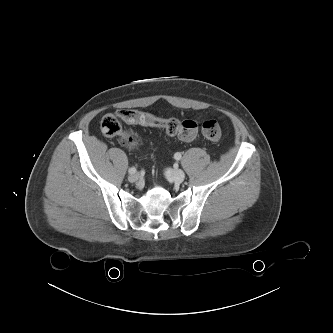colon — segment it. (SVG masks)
<instances>
[{
  "instance_id": "colon-1",
  "label": "colon",
  "mask_w": 333,
  "mask_h": 333,
  "mask_svg": "<svg viewBox=\"0 0 333 333\" xmlns=\"http://www.w3.org/2000/svg\"><path fill=\"white\" fill-rule=\"evenodd\" d=\"M121 121L128 124H141L158 126L166 130L170 135H176L184 141H193L199 135V128L193 120H179L177 118L161 119L149 113L133 110H119L116 113H108L103 116L100 128L106 136H120L121 143L128 149H135L141 143V137L133 130H122ZM202 135L208 140H218L222 130L217 118L205 121L201 126Z\"/></svg>"
}]
</instances>
